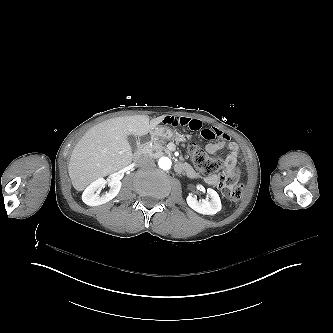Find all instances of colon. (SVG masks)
<instances>
[{
  "instance_id": "5ec220e1",
  "label": "colon",
  "mask_w": 333,
  "mask_h": 333,
  "mask_svg": "<svg viewBox=\"0 0 333 333\" xmlns=\"http://www.w3.org/2000/svg\"><path fill=\"white\" fill-rule=\"evenodd\" d=\"M189 154L196 168L207 176L223 171L217 177V187L227 199L238 201L242 198L244 187L238 183L241 172L238 166L228 164L225 166L223 160L205 153L198 145L191 143L188 146Z\"/></svg>"
}]
</instances>
